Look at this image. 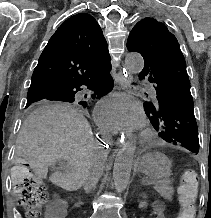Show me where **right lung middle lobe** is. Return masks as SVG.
<instances>
[{
    "mask_svg": "<svg viewBox=\"0 0 211 218\" xmlns=\"http://www.w3.org/2000/svg\"><path fill=\"white\" fill-rule=\"evenodd\" d=\"M75 95L66 93V94H50L38 99L27 101L25 108H28L29 111L47 109L65 105H80L83 108L87 107L86 101H80L78 98L74 97Z\"/></svg>",
    "mask_w": 211,
    "mask_h": 218,
    "instance_id": "dd1d6c3e",
    "label": "right lung middle lobe"
}]
</instances>
